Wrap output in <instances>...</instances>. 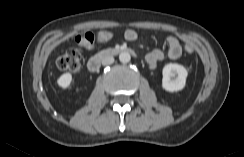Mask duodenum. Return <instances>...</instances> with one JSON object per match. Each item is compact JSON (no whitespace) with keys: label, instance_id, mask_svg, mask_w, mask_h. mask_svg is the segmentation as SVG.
<instances>
[{"label":"duodenum","instance_id":"obj_1","mask_svg":"<svg viewBox=\"0 0 244 157\" xmlns=\"http://www.w3.org/2000/svg\"><path fill=\"white\" fill-rule=\"evenodd\" d=\"M126 52H132V50L128 48H123V47H117V48H110L103 50L94 56H92L87 63V68L91 72H95L99 69L101 62L103 59L110 57V56H115L121 53H126Z\"/></svg>","mask_w":244,"mask_h":157}]
</instances>
